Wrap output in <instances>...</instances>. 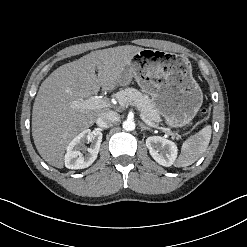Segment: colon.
I'll return each instance as SVG.
<instances>
[{
  "mask_svg": "<svg viewBox=\"0 0 247 247\" xmlns=\"http://www.w3.org/2000/svg\"><path fill=\"white\" fill-rule=\"evenodd\" d=\"M203 113H204V110H201V111H200V114H203Z\"/></svg>",
  "mask_w": 247,
  "mask_h": 247,
  "instance_id": "obj_1",
  "label": "colon"
}]
</instances>
